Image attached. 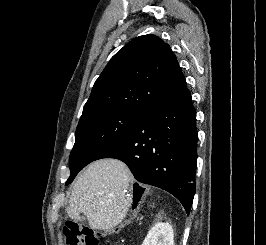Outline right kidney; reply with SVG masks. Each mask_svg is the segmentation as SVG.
I'll list each match as a JSON object with an SVG mask.
<instances>
[{"label": "right kidney", "mask_w": 266, "mask_h": 245, "mask_svg": "<svg viewBox=\"0 0 266 245\" xmlns=\"http://www.w3.org/2000/svg\"><path fill=\"white\" fill-rule=\"evenodd\" d=\"M142 245H158L157 223L148 231V235L145 237V241H143Z\"/></svg>", "instance_id": "right-kidney-1"}]
</instances>
